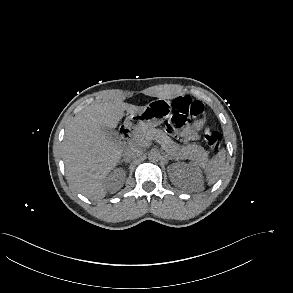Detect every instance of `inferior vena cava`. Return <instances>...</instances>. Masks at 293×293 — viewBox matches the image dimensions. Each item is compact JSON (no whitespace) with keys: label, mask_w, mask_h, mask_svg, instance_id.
<instances>
[{"label":"inferior vena cava","mask_w":293,"mask_h":293,"mask_svg":"<svg viewBox=\"0 0 293 293\" xmlns=\"http://www.w3.org/2000/svg\"><path fill=\"white\" fill-rule=\"evenodd\" d=\"M141 154L142 150L140 148L132 147L123 153V157L125 160H131L139 157Z\"/></svg>","instance_id":"inferior-vena-cava-1"}]
</instances>
